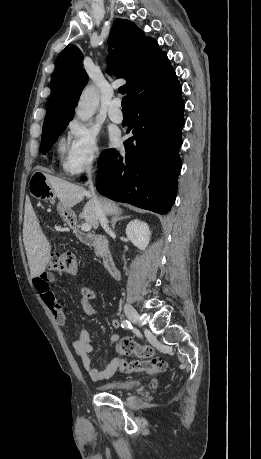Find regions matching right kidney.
I'll list each match as a JSON object with an SVG mask.
<instances>
[{
  "label": "right kidney",
  "mask_w": 261,
  "mask_h": 459,
  "mask_svg": "<svg viewBox=\"0 0 261 459\" xmlns=\"http://www.w3.org/2000/svg\"><path fill=\"white\" fill-rule=\"evenodd\" d=\"M149 226L140 220H132L126 227V236L140 250H145L150 241Z\"/></svg>",
  "instance_id": "1"
}]
</instances>
